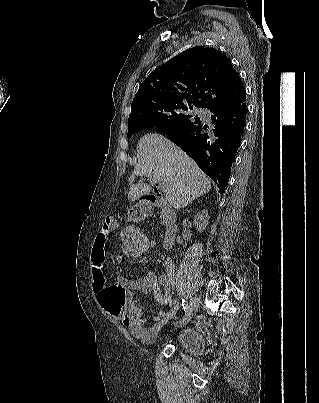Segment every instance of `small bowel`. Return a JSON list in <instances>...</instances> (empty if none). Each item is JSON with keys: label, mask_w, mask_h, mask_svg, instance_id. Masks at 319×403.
Segmentation results:
<instances>
[{"label": "small bowel", "mask_w": 319, "mask_h": 403, "mask_svg": "<svg viewBox=\"0 0 319 403\" xmlns=\"http://www.w3.org/2000/svg\"><path fill=\"white\" fill-rule=\"evenodd\" d=\"M116 215L107 213L104 223L99 227V235L92 249L91 270L93 275V289L101 305V312L117 315L128 328L130 334L142 343H152L167 320L174 314V301L171 296L173 285L174 264L166 259L164 266L166 272L161 271L158 275L150 269L144 277L128 279L120 277L117 284H107L105 276V256L109 244L108 235L112 234L116 226ZM124 250V244H123ZM143 255V254H142ZM119 262L121 257L117 259ZM151 293L154 299L170 307L161 312L152 320L143 318L140 296Z\"/></svg>", "instance_id": "obj_1"}]
</instances>
